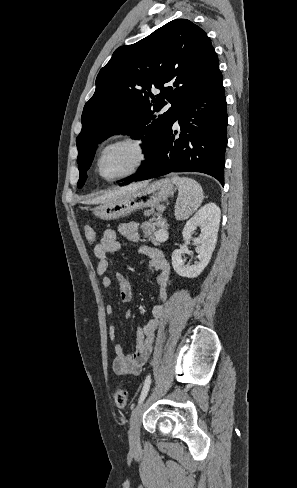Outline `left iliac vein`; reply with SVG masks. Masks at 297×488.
<instances>
[{
    "label": "left iliac vein",
    "instance_id": "left-iliac-vein-1",
    "mask_svg": "<svg viewBox=\"0 0 297 488\" xmlns=\"http://www.w3.org/2000/svg\"><path fill=\"white\" fill-rule=\"evenodd\" d=\"M145 403L142 402L135 408L130 417L129 444L132 452L140 449V424Z\"/></svg>",
    "mask_w": 297,
    "mask_h": 488
}]
</instances>
